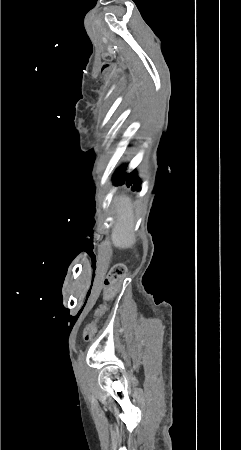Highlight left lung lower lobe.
I'll return each mask as SVG.
<instances>
[{
  "label": "left lung lower lobe",
  "instance_id": "0a47b994",
  "mask_svg": "<svg viewBox=\"0 0 241 450\" xmlns=\"http://www.w3.org/2000/svg\"><path fill=\"white\" fill-rule=\"evenodd\" d=\"M125 167L122 169H119V171L116 173V178H113V183L115 185H122L126 183L127 186H132L133 190L139 191V180L135 173H130L128 175L124 174Z\"/></svg>",
  "mask_w": 241,
  "mask_h": 450
}]
</instances>
